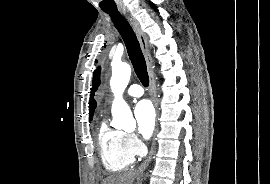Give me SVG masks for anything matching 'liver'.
<instances>
[{"label":"liver","instance_id":"6515ba94","mask_svg":"<svg viewBox=\"0 0 270 184\" xmlns=\"http://www.w3.org/2000/svg\"><path fill=\"white\" fill-rule=\"evenodd\" d=\"M134 178V173L112 175L104 179L102 184H132Z\"/></svg>","mask_w":270,"mask_h":184}]
</instances>
